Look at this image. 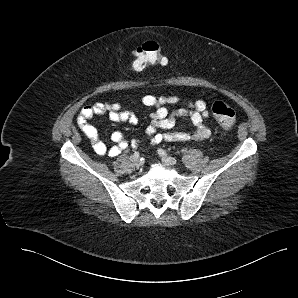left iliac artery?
<instances>
[{
  "instance_id": "obj_1",
  "label": "left iliac artery",
  "mask_w": 298,
  "mask_h": 298,
  "mask_svg": "<svg viewBox=\"0 0 298 298\" xmlns=\"http://www.w3.org/2000/svg\"><path fill=\"white\" fill-rule=\"evenodd\" d=\"M158 154L161 156H168L167 152L161 148L158 149Z\"/></svg>"
}]
</instances>
